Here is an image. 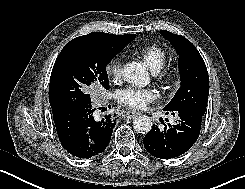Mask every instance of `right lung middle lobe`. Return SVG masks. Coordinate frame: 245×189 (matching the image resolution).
<instances>
[{"label":"right lung middle lobe","mask_w":245,"mask_h":189,"mask_svg":"<svg viewBox=\"0 0 245 189\" xmlns=\"http://www.w3.org/2000/svg\"><path fill=\"white\" fill-rule=\"evenodd\" d=\"M117 53L91 41H70L60 52L51 72V108L91 102L88 91L95 85L109 89L106 66Z\"/></svg>","instance_id":"right-lung-middle-lobe-1"}]
</instances>
